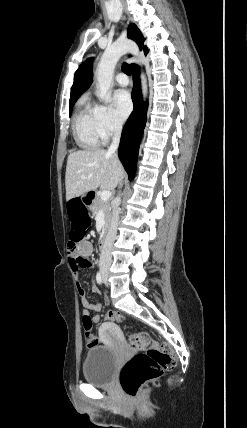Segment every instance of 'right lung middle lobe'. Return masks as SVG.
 <instances>
[{"label": "right lung middle lobe", "mask_w": 247, "mask_h": 428, "mask_svg": "<svg viewBox=\"0 0 247 428\" xmlns=\"http://www.w3.org/2000/svg\"><path fill=\"white\" fill-rule=\"evenodd\" d=\"M73 106H74V104H70V105H69L70 115H71L72 107H73Z\"/></svg>", "instance_id": "obj_1"}]
</instances>
